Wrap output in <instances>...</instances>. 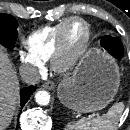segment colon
<instances>
[{
    "instance_id": "5ec220e1",
    "label": "colon",
    "mask_w": 130,
    "mask_h": 130,
    "mask_svg": "<svg viewBox=\"0 0 130 130\" xmlns=\"http://www.w3.org/2000/svg\"><path fill=\"white\" fill-rule=\"evenodd\" d=\"M103 48L108 51L111 55L119 58L123 55V47L119 40L116 38L106 35L102 39Z\"/></svg>"
}]
</instances>
